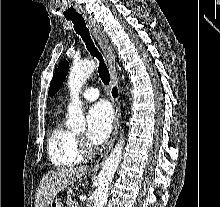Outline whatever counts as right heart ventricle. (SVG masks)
Instances as JSON below:
<instances>
[{
  "label": "right heart ventricle",
  "mask_w": 220,
  "mask_h": 207,
  "mask_svg": "<svg viewBox=\"0 0 220 207\" xmlns=\"http://www.w3.org/2000/svg\"><path fill=\"white\" fill-rule=\"evenodd\" d=\"M47 150L51 162L58 167H70L82 160L75 135L61 121H57L50 132Z\"/></svg>",
  "instance_id": "e07e8e85"
}]
</instances>
